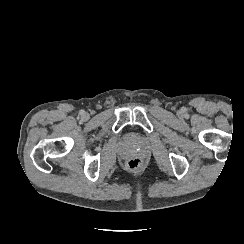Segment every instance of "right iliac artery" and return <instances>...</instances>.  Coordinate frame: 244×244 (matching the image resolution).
Wrapping results in <instances>:
<instances>
[{
    "label": "right iliac artery",
    "mask_w": 244,
    "mask_h": 244,
    "mask_svg": "<svg viewBox=\"0 0 244 244\" xmlns=\"http://www.w3.org/2000/svg\"><path fill=\"white\" fill-rule=\"evenodd\" d=\"M85 111L84 110H80V114L84 115Z\"/></svg>",
    "instance_id": "1"
}]
</instances>
